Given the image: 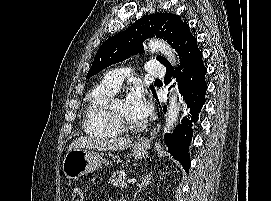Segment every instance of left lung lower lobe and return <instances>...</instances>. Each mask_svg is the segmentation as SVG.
<instances>
[{"label": "left lung lower lobe", "mask_w": 271, "mask_h": 201, "mask_svg": "<svg viewBox=\"0 0 271 201\" xmlns=\"http://www.w3.org/2000/svg\"><path fill=\"white\" fill-rule=\"evenodd\" d=\"M180 58V66L174 71L170 63L165 65L167 73L165 79L170 82L172 77H177L180 93L184 96L187 104L188 116L184 118L173 134L165 135V142L170 154L178 160L186 172L190 167L189 145L192 139V123L198 120V113L205 104V92L207 85L205 81L206 68L202 61V52L197 46L196 38L185 45L179 46L177 50ZM157 99L156 93H154ZM158 100V99H157ZM164 112L166 107H164Z\"/></svg>", "instance_id": "1"}]
</instances>
